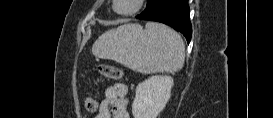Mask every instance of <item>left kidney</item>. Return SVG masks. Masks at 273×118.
<instances>
[{"instance_id": "left-kidney-1", "label": "left kidney", "mask_w": 273, "mask_h": 118, "mask_svg": "<svg viewBox=\"0 0 273 118\" xmlns=\"http://www.w3.org/2000/svg\"><path fill=\"white\" fill-rule=\"evenodd\" d=\"M173 84L172 77L163 75L151 76L138 84L132 104L134 118H157L170 99Z\"/></svg>"}]
</instances>
